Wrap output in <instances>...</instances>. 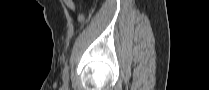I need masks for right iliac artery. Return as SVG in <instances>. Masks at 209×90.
<instances>
[{
    "mask_svg": "<svg viewBox=\"0 0 209 90\" xmlns=\"http://www.w3.org/2000/svg\"><path fill=\"white\" fill-rule=\"evenodd\" d=\"M63 81H64V84H65V87L67 88L68 81H69L68 66H65V68H64V71H63Z\"/></svg>",
    "mask_w": 209,
    "mask_h": 90,
    "instance_id": "right-iliac-artery-1",
    "label": "right iliac artery"
}]
</instances>
